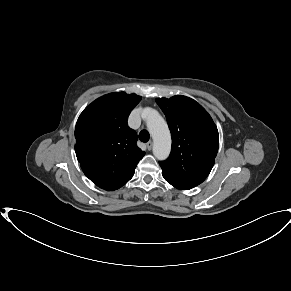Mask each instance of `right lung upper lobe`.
Returning a JSON list of instances; mask_svg holds the SVG:
<instances>
[{"label":"right lung upper lobe","instance_id":"right-lung-upper-lobe-1","mask_svg":"<svg viewBox=\"0 0 291 291\" xmlns=\"http://www.w3.org/2000/svg\"><path fill=\"white\" fill-rule=\"evenodd\" d=\"M136 94L116 92L92 102L79 116L75 152L84 174L96 185L131 177L145 155L127 118L140 102Z\"/></svg>","mask_w":291,"mask_h":291}]
</instances>
